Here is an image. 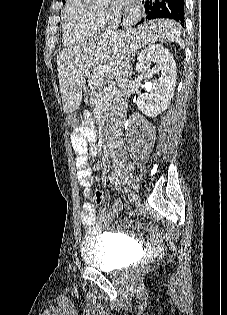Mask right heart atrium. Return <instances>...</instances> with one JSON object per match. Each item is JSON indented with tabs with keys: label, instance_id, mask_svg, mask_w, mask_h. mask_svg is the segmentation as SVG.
<instances>
[{
	"label": "right heart atrium",
	"instance_id": "right-heart-atrium-1",
	"mask_svg": "<svg viewBox=\"0 0 227 315\" xmlns=\"http://www.w3.org/2000/svg\"><path fill=\"white\" fill-rule=\"evenodd\" d=\"M96 15L101 27H105L112 20L116 19L119 16V10L115 7L110 6L98 10Z\"/></svg>",
	"mask_w": 227,
	"mask_h": 315
}]
</instances>
